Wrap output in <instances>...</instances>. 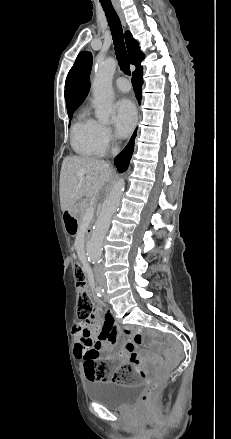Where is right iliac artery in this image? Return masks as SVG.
Returning a JSON list of instances; mask_svg holds the SVG:
<instances>
[{
  "label": "right iliac artery",
  "mask_w": 231,
  "mask_h": 439,
  "mask_svg": "<svg viewBox=\"0 0 231 439\" xmlns=\"http://www.w3.org/2000/svg\"><path fill=\"white\" fill-rule=\"evenodd\" d=\"M95 293L97 294V296L101 297L104 294V289L101 287H96Z\"/></svg>",
  "instance_id": "1"
}]
</instances>
